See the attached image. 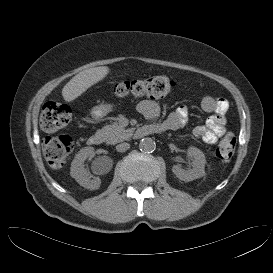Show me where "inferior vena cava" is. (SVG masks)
<instances>
[{
  "instance_id": "obj_1",
  "label": "inferior vena cava",
  "mask_w": 273,
  "mask_h": 273,
  "mask_svg": "<svg viewBox=\"0 0 273 273\" xmlns=\"http://www.w3.org/2000/svg\"><path fill=\"white\" fill-rule=\"evenodd\" d=\"M130 148V144L127 142L120 143L116 146L118 152H125Z\"/></svg>"
}]
</instances>
